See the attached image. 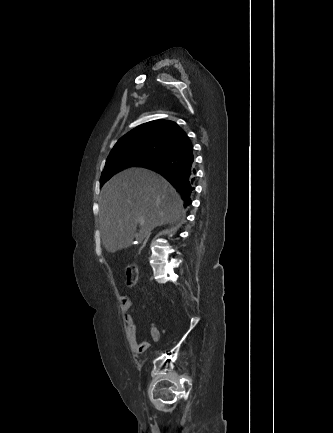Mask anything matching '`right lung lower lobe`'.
<instances>
[{
  "instance_id": "98d812e1",
  "label": "right lung lower lobe",
  "mask_w": 333,
  "mask_h": 433,
  "mask_svg": "<svg viewBox=\"0 0 333 433\" xmlns=\"http://www.w3.org/2000/svg\"><path fill=\"white\" fill-rule=\"evenodd\" d=\"M145 167L154 169L165 177L181 193L185 206L192 203L190 195L194 190L196 171L193 146L190 141L162 160Z\"/></svg>"
}]
</instances>
